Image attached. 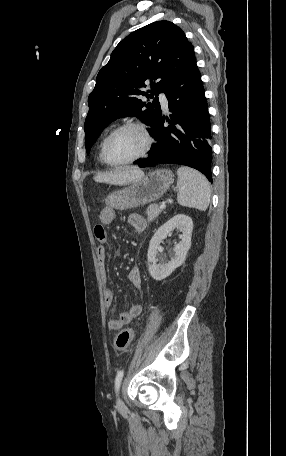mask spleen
<instances>
[{"label":"spleen","instance_id":"3e777b00","mask_svg":"<svg viewBox=\"0 0 286 456\" xmlns=\"http://www.w3.org/2000/svg\"><path fill=\"white\" fill-rule=\"evenodd\" d=\"M177 174L178 203L205 211L210 203V186L206 177L189 167H180Z\"/></svg>","mask_w":286,"mask_h":456}]
</instances>
